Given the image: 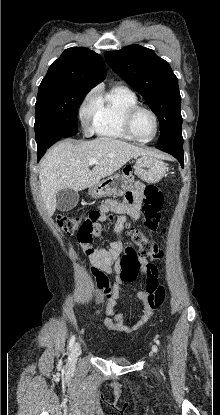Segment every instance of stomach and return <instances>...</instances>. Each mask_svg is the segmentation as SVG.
Instances as JSON below:
<instances>
[{
	"label": "stomach",
	"mask_w": 220,
	"mask_h": 415,
	"mask_svg": "<svg viewBox=\"0 0 220 415\" xmlns=\"http://www.w3.org/2000/svg\"><path fill=\"white\" fill-rule=\"evenodd\" d=\"M135 173L148 183L158 182L166 172V165L154 156L144 155L136 159ZM128 178L114 174L89 188V194L94 198L107 196H122L127 190Z\"/></svg>",
	"instance_id": "stomach-1"
}]
</instances>
